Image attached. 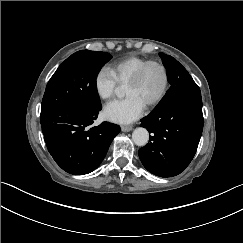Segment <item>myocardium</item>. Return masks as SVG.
Segmentation results:
<instances>
[{
	"instance_id": "myocardium-1",
	"label": "myocardium",
	"mask_w": 243,
	"mask_h": 243,
	"mask_svg": "<svg viewBox=\"0 0 243 243\" xmlns=\"http://www.w3.org/2000/svg\"><path fill=\"white\" fill-rule=\"evenodd\" d=\"M150 65H158L164 72L165 75V86L164 89L162 91V93L160 94V96L150 102L147 106L150 108L156 107L159 104H161L165 98L167 97L170 88H171V75L169 72L168 67L166 66V64H164L162 61L160 60H156V59H150L147 60L146 62H144L133 74L132 76L127 80L126 85L127 84H133L136 83L140 80L142 74L144 73V71L150 66Z\"/></svg>"
}]
</instances>
